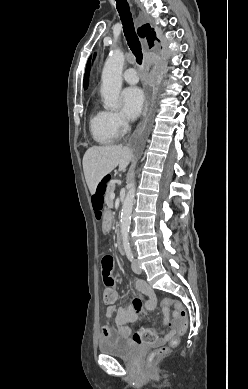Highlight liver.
Segmentation results:
<instances>
[{
    "instance_id": "obj_1",
    "label": "liver",
    "mask_w": 248,
    "mask_h": 389,
    "mask_svg": "<svg viewBox=\"0 0 248 389\" xmlns=\"http://www.w3.org/2000/svg\"><path fill=\"white\" fill-rule=\"evenodd\" d=\"M133 158V152L120 145L94 146L83 157V171L91 194H94L101 179L119 166L124 171Z\"/></svg>"
}]
</instances>
